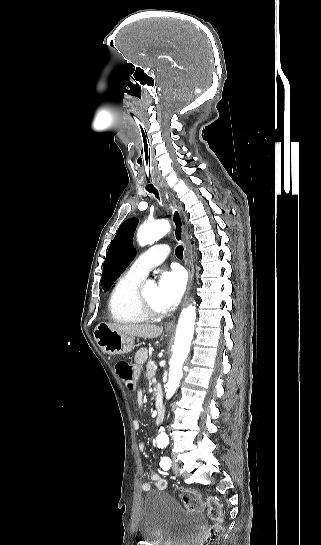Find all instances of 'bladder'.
<instances>
[{
    "mask_svg": "<svg viewBox=\"0 0 321 545\" xmlns=\"http://www.w3.org/2000/svg\"><path fill=\"white\" fill-rule=\"evenodd\" d=\"M204 523L200 513L184 510L171 495L153 489L142 503L139 533L152 545H191Z\"/></svg>",
    "mask_w": 321,
    "mask_h": 545,
    "instance_id": "1",
    "label": "bladder"
}]
</instances>
